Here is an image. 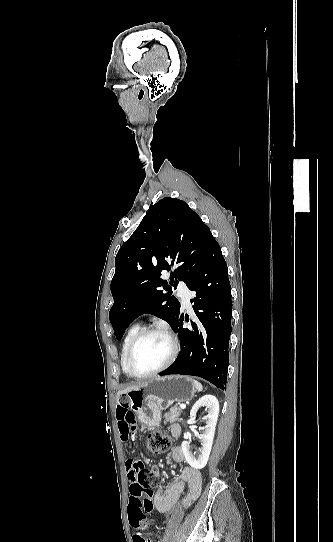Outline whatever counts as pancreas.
<instances>
[{
    "mask_svg": "<svg viewBox=\"0 0 333 542\" xmlns=\"http://www.w3.org/2000/svg\"><path fill=\"white\" fill-rule=\"evenodd\" d=\"M181 414L180 408H177V406H174V408H170L169 412H166L164 414V424H173V422H177V420H180L179 416Z\"/></svg>",
    "mask_w": 333,
    "mask_h": 542,
    "instance_id": "obj_1",
    "label": "pancreas"
}]
</instances>
